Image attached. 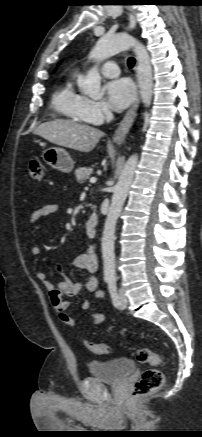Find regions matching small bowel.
Here are the masks:
<instances>
[{
  "label": "small bowel",
  "instance_id": "small-bowel-1",
  "mask_svg": "<svg viewBox=\"0 0 202 437\" xmlns=\"http://www.w3.org/2000/svg\"><path fill=\"white\" fill-rule=\"evenodd\" d=\"M59 205L57 203L46 204L36 209L29 218V224H34L41 218L51 215L57 212ZM31 252L34 256H38L41 252L38 246H33ZM72 268L82 270L86 272V277L83 281H73L70 279L60 268L59 273L61 279L53 284L46 279L44 272L36 270L34 277L38 281L42 282L47 289L49 299L52 307L54 308L58 318L68 326H73L75 320L69 314L70 303L66 300L67 297H73L86 290L89 293H94L95 302L104 299V292L98 290V280L95 273L98 270V259L93 249L79 254L70 264ZM82 310L88 311L92 308V302L89 299H85L81 305ZM91 319L93 325L101 324L105 316L102 313L92 311Z\"/></svg>",
  "mask_w": 202,
  "mask_h": 437
}]
</instances>
